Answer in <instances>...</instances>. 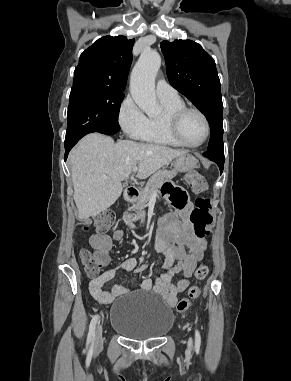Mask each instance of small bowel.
Instances as JSON below:
<instances>
[{
    "mask_svg": "<svg viewBox=\"0 0 291 381\" xmlns=\"http://www.w3.org/2000/svg\"><path fill=\"white\" fill-rule=\"evenodd\" d=\"M165 195L174 206L175 212L165 214L158 222L155 248L164 256L163 271L154 281L150 278L143 279L140 288L160 294L166 304L174 306L178 294L187 289L189 278L197 264L203 259L207 242L192 234L188 229L191 207L186 201L184 192L180 188L166 187ZM177 199H183L184 204L177 205L175 203ZM121 238V230H116L112 237L94 234L90 237V244L96 251L108 252L111 249L112 240L119 241ZM119 269L142 273L147 266L137 267L134 258H127L119 267L106 270L91 279L89 292L99 303L110 304L116 297L129 291L127 286L120 284L113 285L110 290L104 288L116 276ZM176 275L178 276L177 281L173 282V277Z\"/></svg>",
    "mask_w": 291,
    "mask_h": 381,
    "instance_id": "1",
    "label": "small bowel"
}]
</instances>
